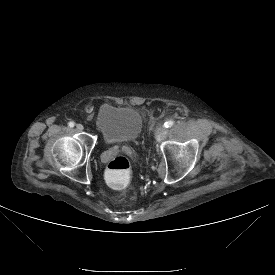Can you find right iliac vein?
I'll list each match as a JSON object with an SVG mask.
<instances>
[{
  "instance_id": "obj_1",
  "label": "right iliac vein",
  "mask_w": 275,
  "mask_h": 275,
  "mask_svg": "<svg viewBox=\"0 0 275 275\" xmlns=\"http://www.w3.org/2000/svg\"><path fill=\"white\" fill-rule=\"evenodd\" d=\"M76 128L79 130V131H82L84 129L83 125L78 123L76 124Z\"/></svg>"
}]
</instances>
